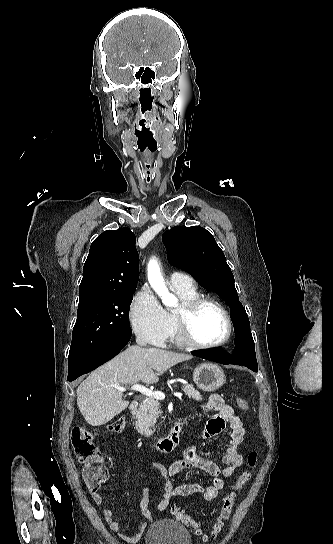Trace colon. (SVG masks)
Masks as SVG:
<instances>
[{
  "mask_svg": "<svg viewBox=\"0 0 333 544\" xmlns=\"http://www.w3.org/2000/svg\"><path fill=\"white\" fill-rule=\"evenodd\" d=\"M236 403L238 407L244 411L249 408L248 402L243 398L238 397ZM125 426L126 419L121 416L108 423L106 429L112 433H119L124 430ZM94 439L95 432L88 428L78 426L72 431L71 440L73 450L77 460L83 466V479L90 490H98L108 478V470L103 463V457L97 449ZM257 460V453L255 451L250 452L247 458L250 469L242 472L232 491L224 497L222 507L210 531L204 532L201 529L200 524L178 506L172 508L173 516L192 528L195 533L204 540L216 537L231 516L237 491L251 479V469L256 466Z\"/></svg>",
  "mask_w": 333,
  "mask_h": 544,
  "instance_id": "colon-1",
  "label": "colon"
}]
</instances>
